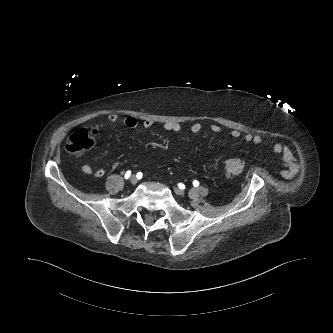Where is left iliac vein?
Wrapping results in <instances>:
<instances>
[{"label":"left iliac vein","instance_id":"obj_1","mask_svg":"<svg viewBox=\"0 0 333 333\" xmlns=\"http://www.w3.org/2000/svg\"><path fill=\"white\" fill-rule=\"evenodd\" d=\"M174 192L179 196H183L185 194V192L180 188H174Z\"/></svg>","mask_w":333,"mask_h":333}]
</instances>
